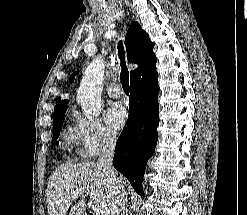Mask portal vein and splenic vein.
<instances>
[{
  "mask_svg": "<svg viewBox=\"0 0 247 215\" xmlns=\"http://www.w3.org/2000/svg\"><path fill=\"white\" fill-rule=\"evenodd\" d=\"M83 193H85L87 195L91 194V192L89 190H80L79 192L74 193L73 196H71V197L69 196L68 198L69 199H75L76 197H78L79 195H81ZM97 209L100 211V213L102 215L110 214V209H109L107 204H104V203L97 204Z\"/></svg>",
  "mask_w": 247,
  "mask_h": 215,
  "instance_id": "18ae733b",
  "label": "portal vein and splenic vein"
}]
</instances>
